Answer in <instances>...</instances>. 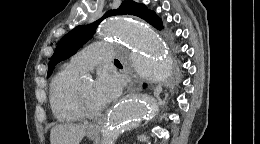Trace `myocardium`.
<instances>
[{"instance_id": "myocardium-1", "label": "myocardium", "mask_w": 260, "mask_h": 144, "mask_svg": "<svg viewBox=\"0 0 260 144\" xmlns=\"http://www.w3.org/2000/svg\"><path fill=\"white\" fill-rule=\"evenodd\" d=\"M82 83H83V81H79L76 86L74 105L77 108L80 115L83 117H86V118L99 117L102 114L103 110L102 109L92 110L89 108V106L87 105L85 98H84Z\"/></svg>"}]
</instances>
